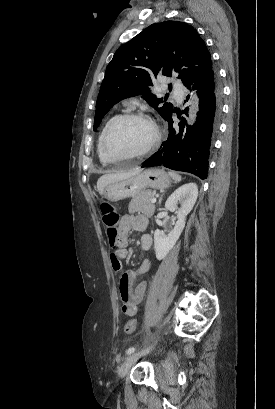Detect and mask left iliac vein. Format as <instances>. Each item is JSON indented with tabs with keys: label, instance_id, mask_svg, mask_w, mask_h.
Listing matches in <instances>:
<instances>
[{
	"label": "left iliac vein",
	"instance_id": "4c4485c4",
	"mask_svg": "<svg viewBox=\"0 0 275 409\" xmlns=\"http://www.w3.org/2000/svg\"><path fill=\"white\" fill-rule=\"evenodd\" d=\"M151 349L146 350L145 353H148L149 351H151ZM141 357V354L139 353H132L130 354L125 362L122 364V366L119 369V377L120 379H123L129 372V370L131 369V367L136 363V361Z\"/></svg>",
	"mask_w": 275,
	"mask_h": 409
}]
</instances>
